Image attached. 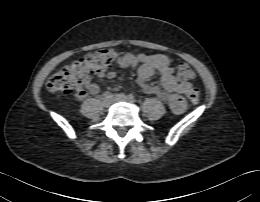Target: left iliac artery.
<instances>
[{
	"instance_id": "1",
	"label": "left iliac artery",
	"mask_w": 260,
	"mask_h": 202,
	"mask_svg": "<svg viewBox=\"0 0 260 202\" xmlns=\"http://www.w3.org/2000/svg\"><path fill=\"white\" fill-rule=\"evenodd\" d=\"M128 99L130 100V102H136V98L133 95H128Z\"/></svg>"
}]
</instances>
